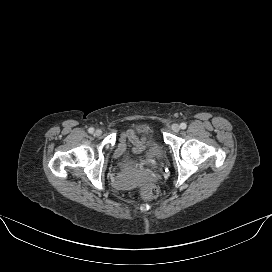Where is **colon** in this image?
<instances>
[{"mask_svg": "<svg viewBox=\"0 0 272 272\" xmlns=\"http://www.w3.org/2000/svg\"><path fill=\"white\" fill-rule=\"evenodd\" d=\"M141 196L144 200H151L157 197L158 188L152 183H147L141 186Z\"/></svg>", "mask_w": 272, "mask_h": 272, "instance_id": "obj_1", "label": "colon"}]
</instances>
